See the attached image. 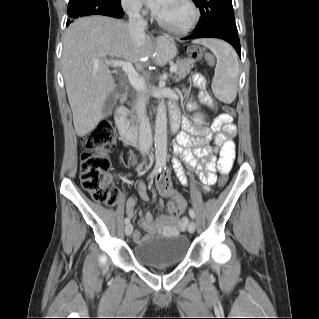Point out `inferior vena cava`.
Masks as SVG:
<instances>
[{
    "label": "inferior vena cava",
    "mask_w": 319,
    "mask_h": 319,
    "mask_svg": "<svg viewBox=\"0 0 319 319\" xmlns=\"http://www.w3.org/2000/svg\"><path fill=\"white\" fill-rule=\"evenodd\" d=\"M140 10V4H133L127 8V14L129 16V33L133 43L137 47L143 45L145 40V29L147 27V23L141 16ZM135 107L139 121V150L141 154H145L152 147L153 139L150 122L146 115L145 100L142 96L137 98Z\"/></svg>",
    "instance_id": "obj_1"
}]
</instances>
